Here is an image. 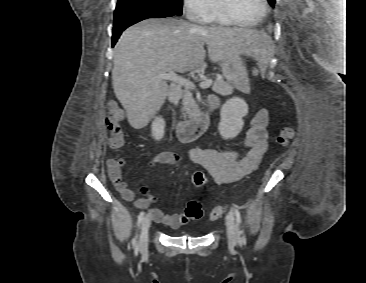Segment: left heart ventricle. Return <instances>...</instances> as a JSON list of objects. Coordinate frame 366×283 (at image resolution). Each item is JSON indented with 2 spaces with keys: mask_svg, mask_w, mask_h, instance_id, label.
Here are the masks:
<instances>
[{
  "mask_svg": "<svg viewBox=\"0 0 366 283\" xmlns=\"http://www.w3.org/2000/svg\"><path fill=\"white\" fill-rule=\"evenodd\" d=\"M231 5L236 16L247 23L255 21L264 11L262 0H231Z\"/></svg>",
  "mask_w": 366,
  "mask_h": 283,
  "instance_id": "b2bd125f",
  "label": "left heart ventricle"
}]
</instances>
